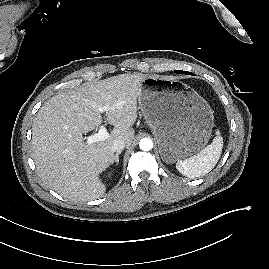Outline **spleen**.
Wrapping results in <instances>:
<instances>
[{"label":"spleen","instance_id":"spleen-1","mask_svg":"<svg viewBox=\"0 0 269 269\" xmlns=\"http://www.w3.org/2000/svg\"><path fill=\"white\" fill-rule=\"evenodd\" d=\"M223 149V138L220 131L216 130V136L212 143L203 148L196 155L176 164L177 170L189 177L196 178L209 173L217 164Z\"/></svg>","mask_w":269,"mask_h":269}]
</instances>
